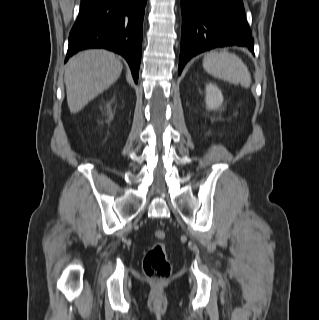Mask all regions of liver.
<instances>
[{
  "label": "liver",
  "instance_id": "liver-1",
  "mask_svg": "<svg viewBox=\"0 0 319 320\" xmlns=\"http://www.w3.org/2000/svg\"><path fill=\"white\" fill-rule=\"evenodd\" d=\"M122 69L121 61L107 50H85L74 55L66 65L64 76L70 112H79L109 88Z\"/></svg>",
  "mask_w": 319,
  "mask_h": 320
}]
</instances>
